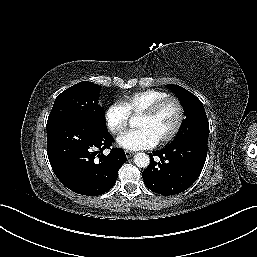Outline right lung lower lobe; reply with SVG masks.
<instances>
[{"instance_id":"obj_1","label":"right lung lower lobe","mask_w":257,"mask_h":257,"mask_svg":"<svg viewBox=\"0 0 257 257\" xmlns=\"http://www.w3.org/2000/svg\"><path fill=\"white\" fill-rule=\"evenodd\" d=\"M47 152L51 167L68 189L97 196L113 187L118 170L126 162L121 148H112L113 137L88 122L65 117L47 122Z\"/></svg>"}]
</instances>
